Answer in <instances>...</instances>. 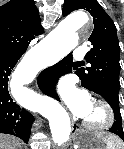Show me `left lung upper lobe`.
<instances>
[{"label": "left lung upper lobe", "mask_w": 124, "mask_h": 149, "mask_svg": "<svg viewBox=\"0 0 124 149\" xmlns=\"http://www.w3.org/2000/svg\"><path fill=\"white\" fill-rule=\"evenodd\" d=\"M85 9L93 16L94 30L88 41L91 50L85 60L91 64L76 74L82 86L109 100L115 117L122 121L119 109L120 47L117 30L112 19L96 0H65L62 14L67 16L74 10Z\"/></svg>", "instance_id": "left-lung-upper-lobe-1"}]
</instances>
